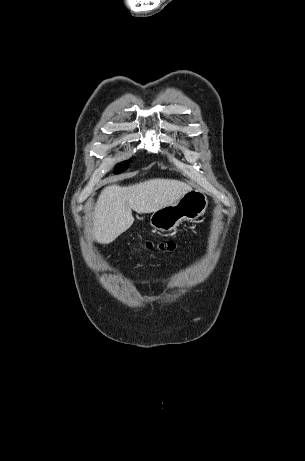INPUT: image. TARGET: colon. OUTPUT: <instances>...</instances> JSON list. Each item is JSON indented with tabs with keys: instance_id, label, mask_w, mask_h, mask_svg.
<instances>
[{
	"instance_id": "colon-1",
	"label": "colon",
	"mask_w": 305,
	"mask_h": 461,
	"mask_svg": "<svg viewBox=\"0 0 305 461\" xmlns=\"http://www.w3.org/2000/svg\"><path fill=\"white\" fill-rule=\"evenodd\" d=\"M146 248L149 250L156 248L161 251L171 252L176 248V242L174 240H166L158 243L147 242Z\"/></svg>"
}]
</instances>
